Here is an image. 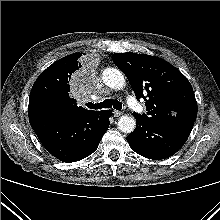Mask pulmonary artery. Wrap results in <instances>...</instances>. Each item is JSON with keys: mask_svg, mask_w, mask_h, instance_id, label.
Returning a JSON list of instances; mask_svg holds the SVG:
<instances>
[{"mask_svg": "<svg viewBox=\"0 0 220 220\" xmlns=\"http://www.w3.org/2000/svg\"><path fill=\"white\" fill-rule=\"evenodd\" d=\"M128 104L130 105V107H131L133 110L139 111L140 107H139L138 103H137L134 99L129 98V99H128Z\"/></svg>", "mask_w": 220, "mask_h": 220, "instance_id": "pulmonary-artery-1", "label": "pulmonary artery"}]
</instances>
